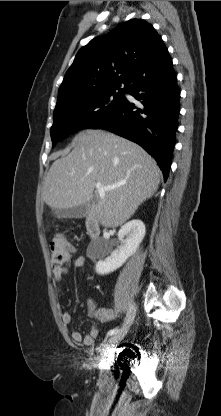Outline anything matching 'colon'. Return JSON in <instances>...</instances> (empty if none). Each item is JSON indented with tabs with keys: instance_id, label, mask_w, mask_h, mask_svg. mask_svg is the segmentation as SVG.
Returning <instances> with one entry per match:
<instances>
[{
	"instance_id": "obj_1",
	"label": "colon",
	"mask_w": 221,
	"mask_h": 416,
	"mask_svg": "<svg viewBox=\"0 0 221 416\" xmlns=\"http://www.w3.org/2000/svg\"><path fill=\"white\" fill-rule=\"evenodd\" d=\"M73 250L69 242L63 236H56L50 242L52 263L62 265L71 257Z\"/></svg>"
}]
</instances>
